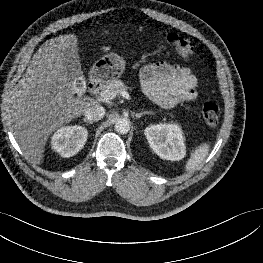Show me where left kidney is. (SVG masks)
I'll return each instance as SVG.
<instances>
[{
	"instance_id": "left-kidney-1",
	"label": "left kidney",
	"mask_w": 263,
	"mask_h": 263,
	"mask_svg": "<svg viewBox=\"0 0 263 263\" xmlns=\"http://www.w3.org/2000/svg\"><path fill=\"white\" fill-rule=\"evenodd\" d=\"M144 134L151 149L162 159L178 161L186 151L182 130L177 124L160 123L146 127Z\"/></svg>"
}]
</instances>
